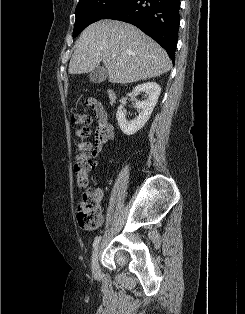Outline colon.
Returning <instances> with one entry per match:
<instances>
[{
  "label": "colon",
  "mask_w": 245,
  "mask_h": 314,
  "mask_svg": "<svg viewBox=\"0 0 245 314\" xmlns=\"http://www.w3.org/2000/svg\"><path fill=\"white\" fill-rule=\"evenodd\" d=\"M90 99L85 101V107L73 117V122L77 126L76 135L79 138V142L76 145L77 155L74 165V175L77 185L80 188L88 187L89 175L94 166L91 160L92 145L88 141L91 117L87 113V110L91 109ZM100 201L101 195L96 191H87L81 195L78 203L77 220L83 230H94L100 224L102 218Z\"/></svg>",
  "instance_id": "obj_1"
}]
</instances>
